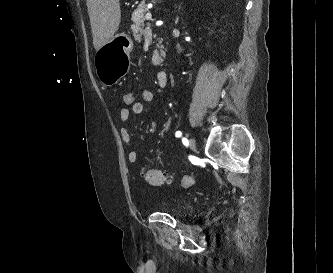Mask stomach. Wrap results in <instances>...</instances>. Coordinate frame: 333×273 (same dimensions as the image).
I'll return each instance as SVG.
<instances>
[{"label":"stomach","instance_id":"1","mask_svg":"<svg viewBox=\"0 0 333 273\" xmlns=\"http://www.w3.org/2000/svg\"><path fill=\"white\" fill-rule=\"evenodd\" d=\"M133 41L127 33L115 35L95 53V69L100 82L106 86L115 84L129 70L128 54Z\"/></svg>","mask_w":333,"mask_h":273}]
</instances>
